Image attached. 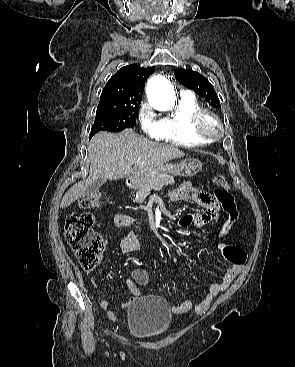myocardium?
Returning a JSON list of instances; mask_svg holds the SVG:
<instances>
[{
  "label": "myocardium",
  "instance_id": "1",
  "mask_svg": "<svg viewBox=\"0 0 295 367\" xmlns=\"http://www.w3.org/2000/svg\"><path fill=\"white\" fill-rule=\"evenodd\" d=\"M209 121L213 122L216 126V130L214 132L209 131L207 127V123ZM191 127L193 133L207 143L218 140L224 132V126L220 118L214 112L207 109H201L194 115Z\"/></svg>",
  "mask_w": 295,
  "mask_h": 367
}]
</instances>
